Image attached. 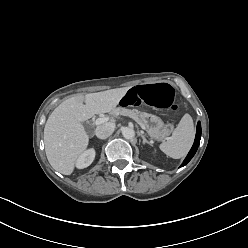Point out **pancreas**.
<instances>
[{"instance_id": "1", "label": "pancreas", "mask_w": 248, "mask_h": 248, "mask_svg": "<svg viewBox=\"0 0 248 248\" xmlns=\"http://www.w3.org/2000/svg\"><path fill=\"white\" fill-rule=\"evenodd\" d=\"M111 115H123L128 116L132 119H134L138 124L144 126V122L142 120L141 114L137 110H130L125 108H115L110 112Z\"/></svg>"}]
</instances>
